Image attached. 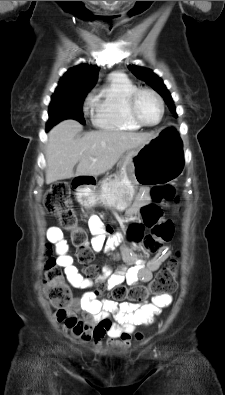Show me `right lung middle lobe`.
Listing matches in <instances>:
<instances>
[{
    "instance_id": "dd1d6c3e",
    "label": "right lung middle lobe",
    "mask_w": 225,
    "mask_h": 395,
    "mask_svg": "<svg viewBox=\"0 0 225 395\" xmlns=\"http://www.w3.org/2000/svg\"><path fill=\"white\" fill-rule=\"evenodd\" d=\"M90 90H55L49 105L47 130L65 119H75L85 125L82 105Z\"/></svg>"
}]
</instances>
